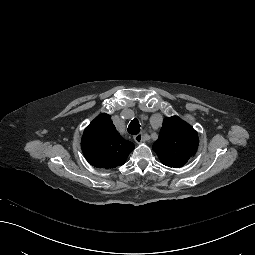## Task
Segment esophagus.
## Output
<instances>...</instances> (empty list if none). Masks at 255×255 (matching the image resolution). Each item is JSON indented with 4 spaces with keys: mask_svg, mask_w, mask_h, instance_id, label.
<instances>
[{
    "mask_svg": "<svg viewBox=\"0 0 255 255\" xmlns=\"http://www.w3.org/2000/svg\"><path fill=\"white\" fill-rule=\"evenodd\" d=\"M134 140L136 143L141 144L143 142V135L142 133H138L134 136Z\"/></svg>",
    "mask_w": 255,
    "mask_h": 255,
    "instance_id": "obj_1",
    "label": "esophagus"
}]
</instances>
